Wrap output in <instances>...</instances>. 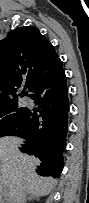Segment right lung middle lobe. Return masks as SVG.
Masks as SVG:
<instances>
[{
    "mask_svg": "<svg viewBox=\"0 0 89 203\" xmlns=\"http://www.w3.org/2000/svg\"><path fill=\"white\" fill-rule=\"evenodd\" d=\"M27 110L18 105L17 99L0 105V137L10 135Z\"/></svg>",
    "mask_w": 89,
    "mask_h": 203,
    "instance_id": "dd1d6c3e",
    "label": "right lung middle lobe"
}]
</instances>
